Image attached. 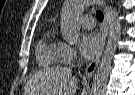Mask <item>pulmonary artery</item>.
<instances>
[{"mask_svg": "<svg viewBox=\"0 0 135 95\" xmlns=\"http://www.w3.org/2000/svg\"><path fill=\"white\" fill-rule=\"evenodd\" d=\"M82 24L86 29H92L94 26V20L93 17L91 15H84L81 18Z\"/></svg>", "mask_w": 135, "mask_h": 95, "instance_id": "e3ab8cb5", "label": "pulmonary artery"}]
</instances>
